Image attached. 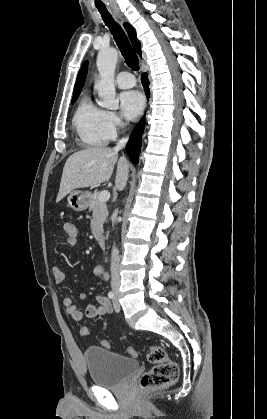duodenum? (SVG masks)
I'll use <instances>...</instances> for the list:
<instances>
[{"mask_svg": "<svg viewBox=\"0 0 267 419\" xmlns=\"http://www.w3.org/2000/svg\"><path fill=\"white\" fill-rule=\"evenodd\" d=\"M97 241H98V244H99L101 247H105V245H106V238H105V236H104V235H99V236L97 237Z\"/></svg>", "mask_w": 267, "mask_h": 419, "instance_id": "obj_1", "label": "duodenum"}]
</instances>
